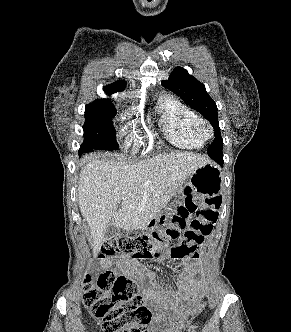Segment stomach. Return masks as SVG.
<instances>
[{"instance_id": "1", "label": "stomach", "mask_w": 291, "mask_h": 332, "mask_svg": "<svg viewBox=\"0 0 291 332\" xmlns=\"http://www.w3.org/2000/svg\"><path fill=\"white\" fill-rule=\"evenodd\" d=\"M187 185L191 188L195 195L203 198L217 196L222 188V173L220 169L212 163L203 165L194 170L188 177ZM180 191L175 193L176 200L167 207L165 211L158 214L154 219L150 220L144 228H155L160 224H166L172 208L178 205H184L183 201L179 200Z\"/></svg>"}]
</instances>
